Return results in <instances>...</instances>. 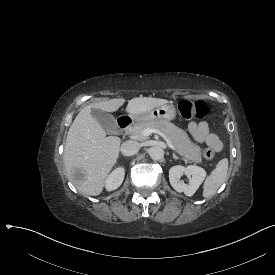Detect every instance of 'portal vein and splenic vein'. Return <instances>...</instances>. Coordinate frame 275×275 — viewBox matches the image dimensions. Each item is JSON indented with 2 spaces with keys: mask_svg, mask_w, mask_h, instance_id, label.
I'll use <instances>...</instances> for the list:
<instances>
[{
  "mask_svg": "<svg viewBox=\"0 0 275 275\" xmlns=\"http://www.w3.org/2000/svg\"><path fill=\"white\" fill-rule=\"evenodd\" d=\"M152 133H156V134L160 135L161 137H163L164 140L166 141L168 147L173 149V150L175 149L172 142L170 141V139L164 133H162L161 131H159L157 129H152V128H146L142 131V134L144 136H149Z\"/></svg>",
  "mask_w": 275,
  "mask_h": 275,
  "instance_id": "1",
  "label": "portal vein and splenic vein"
}]
</instances>
